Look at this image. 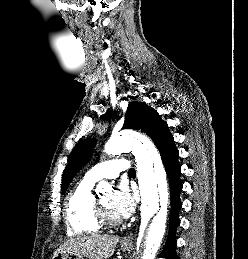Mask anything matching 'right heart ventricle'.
Returning a JSON list of instances; mask_svg holds the SVG:
<instances>
[{"label":"right heart ventricle","instance_id":"right-heart-ventricle-1","mask_svg":"<svg viewBox=\"0 0 248 259\" xmlns=\"http://www.w3.org/2000/svg\"><path fill=\"white\" fill-rule=\"evenodd\" d=\"M94 184L95 181L84 177L68 195L65 220L70 235L92 234L102 227L95 215Z\"/></svg>","mask_w":248,"mask_h":259}]
</instances>
